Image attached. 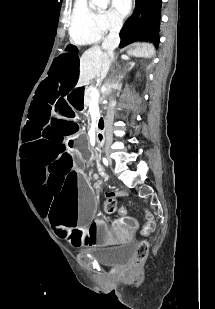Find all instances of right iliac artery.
Listing matches in <instances>:
<instances>
[{
	"instance_id": "1",
	"label": "right iliac artery",
	"mask_w": 215,
	"mask_h": 309,
	"mask_svg": "<svg viewBox=\"0 0 215 309\" xmlns=\"http://www.w3.org/2000/svg\"><path fill=\"white\" fill-rule=\"evenodd\" d=\"M103 163H104L106 166H108V161H107L106 158H103Z\"/></svg>"
}]
</instances>
